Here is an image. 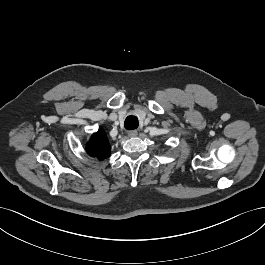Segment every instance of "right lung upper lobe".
<instances>
[{
  "label": "right lung upper lobe",
  "mask_w": 265,
  "mask_h": 265,
  "mask_svg": "<svg viewBox=\"0 0 265 265\" xmlns=\"http://www.w3.org/2000/svg\"><path fill=\"white\" fill-rule=\"evenodd\" d=\"M87 153L96 157L99 160H103L110 156L109 140L106 137L104 130L100 129L97 133H94L86 145Z\"/></svg>",
  "instance_id": "right-lung-upper-lobe-1"
}]
</instances>
